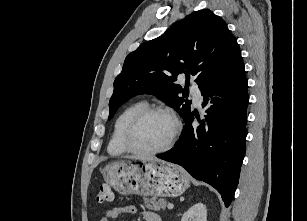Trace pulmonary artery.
I'll return each mask as SVG.
<instances>
[{
	"label": "pulmonary artery",
	"instance_id": "e3ab8cb5",
	"mask_svg": "<svg viewBox=\"0 0 307 221\" xmlns=\"http://www.w3.org/2000/svg\"><path fill=\"white\" fill-rule=\"evenodd\" d=\"M190 91L194 97V101L197 105H200V102L202 100V94H201V90L199 89V87L194 84L191 86Z\"/></svg>",
	"mask_w": 307,
	"mask_h": 221
}]
</instances>
